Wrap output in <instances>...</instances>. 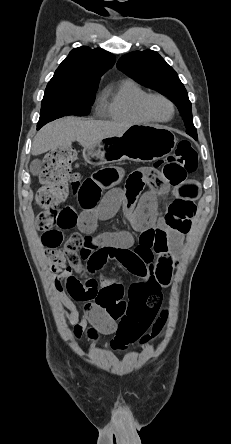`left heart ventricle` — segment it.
Listing matches in <instances>:
<instances>
[{"label": "left heart ventricle", "instance_id": "left-heart-ventricle-1", "mask_svg": "<svg viewBox=\"0 0 231 444\" xmlns=\"http://www.w3.org/2000/svg\"><path fill=\"white\" fill-rule=\"evenodd\" d=\"M150 110L152 113L161 119L169 118L171 115L170 105L163 99H153L150 102Z\"/></svg>", "mask_w": 231, "mask_h": 444}]
</instances>
